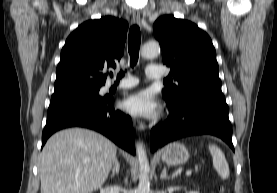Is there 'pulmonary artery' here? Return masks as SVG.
<instances>
[{
	"label": "pulmonary artery",
	"instance_id": "obj_1",
	"mask_svg": "<svg viewBox=\"0 0 277 193\" xmlns=\"http://www.w3.org/2000/svg\"><path fill=\"white\" fill-rule=\"evenodd\" d=\"M146 75L150 79H158V78H161L164 76V72L158 66L149 65L146 68ZM137 83H138L137 78H135L133 76H127L126 78L122 79L116 87L118 89H127V88L134 87L135 85H137ZM112 86H113V84L108 83L106 87L110 88Z\"/></svg>",
	"mask_w": 277,
	"mask_h": 193
}]
</instances>
